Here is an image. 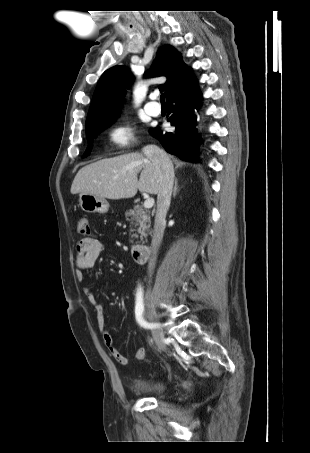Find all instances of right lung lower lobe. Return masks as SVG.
I'll return each mask as SVG.
<instances>
[{"instance_id": "obj_1", "label": "right lung lower lobe", "mask_w": 310, "mask_h": 453, "mask_svg": "<svg viewBox=\"0 0 310 453\" xmlns=\"http://www.w3.org/2000/svg\"><path fill=\"white\" fill-rule=\"evenodd\" d=\"M200 100L195 78L190 72L167 97L168 121L175 126V131L162 134L158 129L150 130L167 152L193 162L198 160L194 108L198 109Z\"/></svg>"}]
</instances>
